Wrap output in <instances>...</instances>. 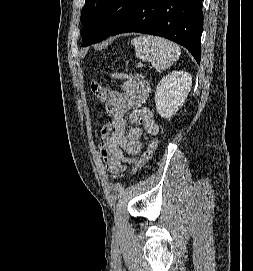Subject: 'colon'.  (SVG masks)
Masks as SVG:
<instances>
[{"mask_svg": "<svg viewBox=\"0 0 253 271\" xmlns=\"http://www.w3.org/2000/svg\"><path fill=\"white\" fill-rule=\"evenodd\" d=\"M135 79H140L141 77L138 75H134L133 76ZM101 86L98 84H94L93 85V91L95 92V94L99 97L100 93H101ZM157 139L153 138L151 140L148 141L147 146L145 148V151L143 152L142 156L140 158H138L135 162V168L136 171L141 170L149 161V159L151 158L156 146H157ZM118 175H116L117 177Z\"/></svg>", "mask_w": 253, "mask_h": 271, "instance_id": "1", "label": "colon"}]
</instances>
